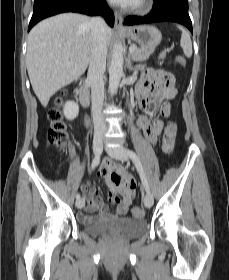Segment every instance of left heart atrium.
Here are the masks:
<instances>
[{
  "instance_id": "obj_1",
  "label": "left heart atrium",
  "mask_w": 229,
  "mask_h": 280,
  "mask_svg": "<svg viewBox=\"0 0 229 280\" xmlns=\"http://www.w3.org/2000/svg\"><path fill=\"white\" fill-rule=\"evenodd\" d=\"M111 1L118 3L122 6L132 7V6L137 5L140 0H111Z\"/></svg>"
}]
</instances>
